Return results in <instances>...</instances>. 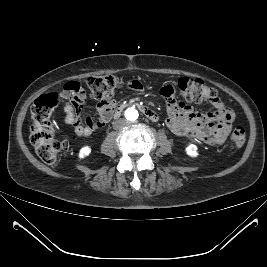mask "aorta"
Segmentation results:
<instances>
[{
  "label": "aorta",
  "mask_w": 267,
  "mask_h": 267,
  "mask_svg": "<svg viewBox=\"0 0 267 267\" xmlns=\"http://www.w3.org/2000/svg\"><path fill=\"white\" fill-rule=\"evenodd\" d=\"M125 117L130 122H135L139 118V112L135 107H130L125 111Z\"/></svg>",
  "instance_id": "1"
}]
</instances>
